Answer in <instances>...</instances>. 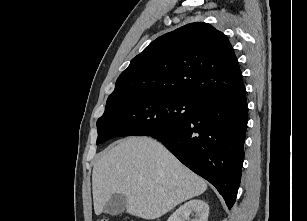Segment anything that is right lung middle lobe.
Instances as JSON below:
<instances>
[{"mask_svg": "<svg viewBox=\"0 0 307 221\" xmlns=\"http://www.w3.org/2000/svg\"><path fill=\"white\" fill-rule=\"evenodd\" d=\"M197 103L167 95L130 96L106 104L97 121V143L118 136L153 135L188 120Z\"/></svg>", "mask_w": 307, "mask_h": 221, "instance_id": "dd1d6c3e", "label": "right lung middle lobe"}]
</instances>
